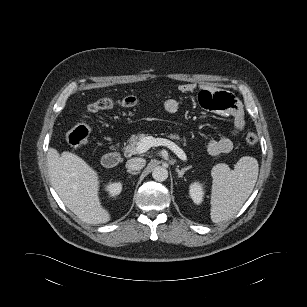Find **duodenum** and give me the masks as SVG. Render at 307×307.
I'll return each mask as SVG.
<instances>
[{"label": "duodenum", "mask_w": 307, "mask_h": 307, "mask_svg": "<svg viewBox=\"0 0 307 307\" xmlns=\"http://www.w3.org/2000/svg\"><path fill=\"white\" fill-rule=\"evenodd\" d=\"M120 161L121 155L117 151L108 152L102 157V164L105 168H114Z\"/></svg>", "instance_id": "1"}]
</instances>
